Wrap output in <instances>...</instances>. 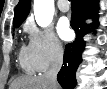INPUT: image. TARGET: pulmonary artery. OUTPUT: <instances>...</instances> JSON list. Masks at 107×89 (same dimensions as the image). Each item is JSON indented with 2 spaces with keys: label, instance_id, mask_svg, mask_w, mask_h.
Returning a JSON list of instances; mask_svg holds the SVG:
<instances>
[{
  "label": "pulmonary artery",
  "instance_id": "obj_1",
  "mask_svg": "<svg viewBox=\"0 0 107 89\" xmlns=\"http://www.w3.org/2000/svg\"><path fill=\"white\" fill-rule=\"evenodd\" d=\"M58 8L62 11V12H67L69 10V5L68 2L66 0H59L58 1Z\"/></svg>",
  "mask_w": 107,
  "mask_h": 89
}]
</instances>
